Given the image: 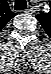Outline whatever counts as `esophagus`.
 Here are the masks:
<instances>
[{"instance_id": "1", "label": "esophagus", "mask_w": 51, "mask_h": 74, "mask_svg": "<svg viewBox=\"0 0 51 74\" xmlns=\"http://www.w3.org/2000/svg\"><path fill=\"white\" fill-rule=\"evenodd\" d=\"M29 11H30V10H26L25 12H26V13H29Z\"/></svg>"}]
</instances>
